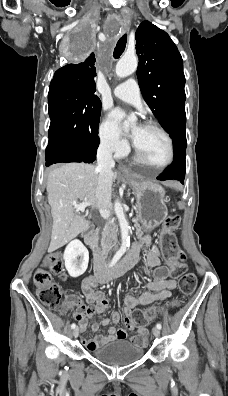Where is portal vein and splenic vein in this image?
<instances>
[{"instance_id": "18ae733b", "label": "portal vein and splenic vein", "mask_w": 228, "mask_h": 396, "mask_svg": "<svg viewBox=\"0 0 228 396\" xmlns=\"http://www.w3.org/2000/svg\"><path fill=\"white\" fill-rule=\"evenodd\" d=\"M89 205H90V202H88V201H83V202H81V203H79V204H74V209L77 210V211H80V212H84V211H85V208H86L87 206H89ZM101 214H102L103 218H105V219H108L109 216H110L108 210H101Z\"/></svg>"}]
</instances>
